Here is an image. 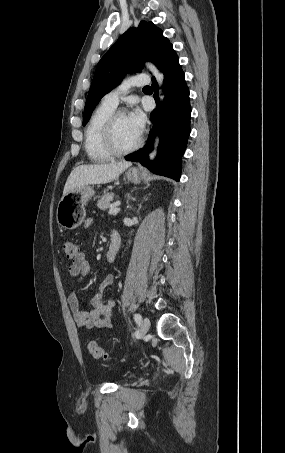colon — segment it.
<instances>
[{
  "label": "colon",
  "mask_w": 285,
  "mask_h": 453,
  "mask_svg": "<svg viewBox=\"0 0 285 453\" xmlns=\"http://www.w3.org/2000/svg\"><path fill=\"white\" fill-rule=\"evenodd\" d=\"M62 249L68 260L74 261L81 253L79 244L72 238H67L62 243ZM88 351L92 357L99 360L107 361L110 359L109 354L100 347L95 341L88 343Z\"/></svg>",
  "instance_id": "colon-1"
}]
</instances>
